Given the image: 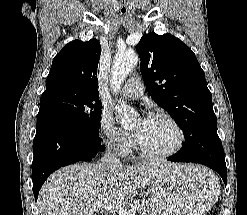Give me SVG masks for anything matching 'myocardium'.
Returning a JSON list of instances; mask_svg holds the SVG:
<instances>
[{"label":"myocardium","instance_id":"f54148a6","mask_svg":"<svg viewBox=\"0 0 247 215\" xmlns=\"http://www.w3.org/2000/svg\"><path fill=\"white\" fill-rule=\"evenodd\" d=\"M152 118L154 119H160V120H165L168 123H170L173 128L176 130L178 139L174 147L168 151L165 152H160V153H155V152H150L144 146L140 143L139 139L137 136H134V142L136 149L140 153V155L146 159L149 160H163L170 158L174 155H176L183 147L186 139V135L184 132V129L180 125V123L170 114L164 113V112H156L152 115Z\"/></svg>","mask_w":247,"mask_h":215}]
</instances>
